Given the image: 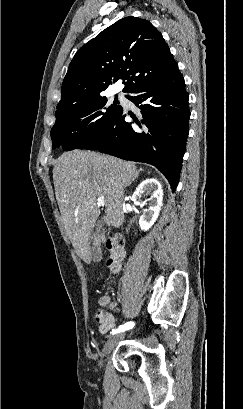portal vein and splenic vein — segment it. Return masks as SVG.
Wrapping results in <instances>:
<instances>
[{"label":"portal vein and splenic vein","instance_id":"1","mask_svg":"<svg viewBox=\"0 0 243 409\" xmlns=\"http://www.w3.org/2000/svg\"><path fill=\"white\" fill-rule=\"evenodd\" d=\"M97 204L99 205V206H102V207H104L105 206V202H104V199L103 198H97Z\"/></svg>","mask_w":243,"mask_h":409}]
</instances>
